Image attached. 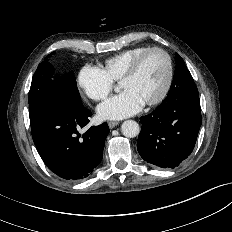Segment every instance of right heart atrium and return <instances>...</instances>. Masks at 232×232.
I'll list each match as a JSON object with an SVG mask.
<instances>
[{"mask_svg":"<svg viewBox=\"0 0 232 232\" xmlns=\"http://www.w3.org/2000/svg\"><path fill=\"white\" fill-rule=\"evenodd\" d=\"M77 83L82 93L94 101L105 99L113 88V81L104 70L92 65L80 69Z\"/></svg>","mask_w":232,"mask_h":232,"instance_id":"1","label":"right heart atrium"}]
</instances>
